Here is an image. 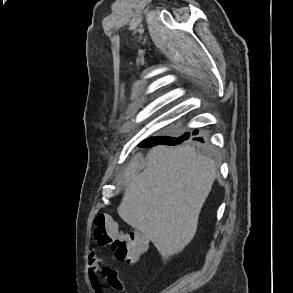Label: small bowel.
<instances>
[{"mask_svg": "<svg viewBox=\"0 0 293 293\" xmlns=\"http://www.w3.org/2000/svg\"><path fill=\"white\" fill-rule=\"evenodd\" d=\"M102 278H105L107 285L116 292H124L125 288L118 279L116 270L106 267L92 250L89 254L88 280L95 293H107L101 283Z\"/></svg>", "mask_w": 293, "mask_h": 293, "instance_id": "small-bowel-1", "label": "small bowel"}]
</instances>
